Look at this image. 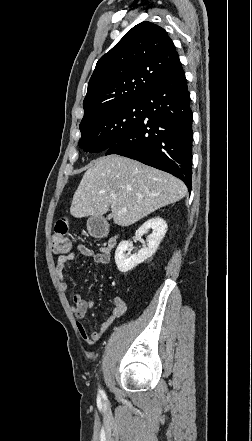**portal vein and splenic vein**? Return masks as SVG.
Listing matches in <instances>:
<instances>
[{
	"label": "portal vein and splenic vein",
	"instance_id": "18ae733b",
	"mask_svg": "<svg viewBox=\"0 0 252 441\" xmlns=\"http://www.w3.org/2000/svg\"><path fill=\"white\" fill-rule=\"evenodd\" d=\"M111 198H112L113 200H115V199H116V195H111ZM123 210H126V209H123Z\"/></svg>",
	"mask_w": 252,
	"mask_h": 441
}]
</instances>
